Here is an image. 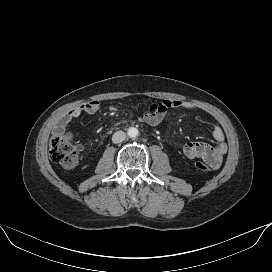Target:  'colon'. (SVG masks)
Listing matches in <instances>:
<instances>
[{
  "label": "colon",
  "instance_id": "obj_1",
  "mask_svg": "<svg viewBox=\"0 0 272 272\" xmlns=\"http://www.w3.org/2000/svg\"><path fill=\"white\" fill-rule=\"evenodd\" d=\"M49 154L52 161L64 169H73L79 161L78 147L74 142L73 136L69 133H54L51 136ZM194 167L203 172L210 170L206 163L200 161L196 162Z\"/></svg>",
  "mask_w": 272,
  "mask_h": 272
}]
</instances>
